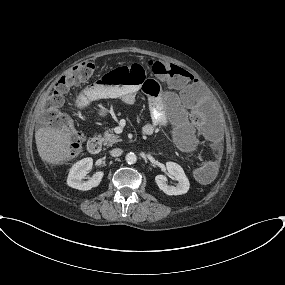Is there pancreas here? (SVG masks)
Returning <instances> with one entry per match:
<instances>
[{
  "label": "pancreas",
  "mask_w": 285,
  "mask_h": 285,
  "mask_svg": "<svg viewBox=\"0 0 285 285\" xmlns=\"http://www.w3.org/2000/svg\"><path fill=\"white\" fill-rule=\"evenodd\" d=\"M102 140L106 146H112L121 141L120 137L114 134L112 129H108L104 132Z\"/></svg>",
  "instance_id": "1"
}]
</instances>
